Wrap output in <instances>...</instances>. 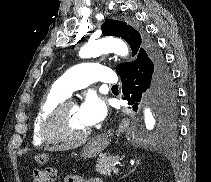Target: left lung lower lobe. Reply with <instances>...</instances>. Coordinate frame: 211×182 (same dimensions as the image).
Returning a JSON list of instances; mask_svg holds the SVG:
<instances>
[{
	"mask_svg": "<svg viewBox=\"0 0 211 182\" xmlns=\"http://www.w3.org/2000/svg\"><path fill=\"white\" fill-rule=\"evenodd\" d=\"M119 76L122 79L123 99L133 105L134 111L138 109L142 93H146L155 103L162 121L170 118L176 107V90L165 59L156 44L149 43L137 54L133 64Z\"/></svg>",
	"mask_w": 211,
	"mask_h": 182,
	"instance_id": "1",
	"label": "left lung lower lobe"
}]
</instances>
